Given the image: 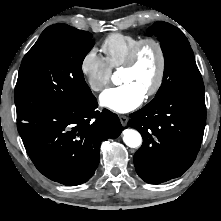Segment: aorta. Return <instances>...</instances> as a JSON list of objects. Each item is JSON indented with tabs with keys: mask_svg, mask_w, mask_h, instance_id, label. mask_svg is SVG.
<instances>
[{
	"mask_svg": "<svg viewBox=\"0 0 221 221\" xmlns=\"http://www.w3.org/2000/svg\"><path fill=\"white\" fill-rule=\"evenodd\" d=\"M123 141L127 146L137 148L142 144V137L138 131L126 129L123 131Z\"/></svg>",
	"mask_w": 221,
	"mask_h": 221,
	"instance_id": "762f6f07",
	"label": "aorta"
}]
</instances>
